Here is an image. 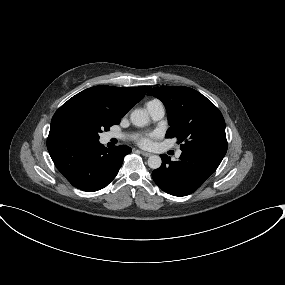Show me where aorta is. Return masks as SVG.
Returning <instances> with one entry per match:
<instances>
[{"mask_svg":"<svg viewBox=\"0 0 285 285\" xmlns=\"http://www.w3.org/2000/svg\"><path fill=\"white\" fill-rule=\"evenodd\" d=\"M130 120L133 125L143 127L149 123L148 113L142 109H135L130 115ZM162 160L158 155H151L148 158V166L151 169H158L161 166Z\"/></svg>","mask_w":285,"mask_h":285,"instance_id":"1","label":"aorta"}]
</instances>
